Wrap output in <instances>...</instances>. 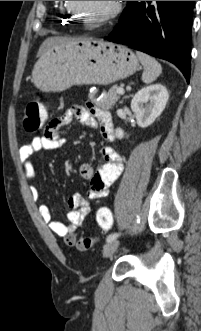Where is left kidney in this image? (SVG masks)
Masks as SVG:
<instances>
[{"label":"left kidney","mask_w":201,"mask_h":331,"mask_svg":"<svg viewBox=\"0 0 201 331\" xmlns=\"http://www.w3.org/2000/svg\"><path fill=\"white\" fill-rule=\"evenodd\" d=\"M169 94L162 84H153L138 91L131 101V109L141 128L150 126L164 110ZM116 137L122 139L124 132L117 128Z\"/></svg>","instance_id":"5707ae66"}]
</instances>
